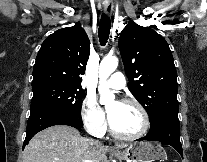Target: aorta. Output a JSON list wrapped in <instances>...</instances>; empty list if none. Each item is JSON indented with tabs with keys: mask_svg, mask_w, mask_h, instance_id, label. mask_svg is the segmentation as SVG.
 <instances>
[{
	"mask_svg": "<svg viewBox=\"0 0 207 162\" xmlns=\"http://www.w3.org/2000/svg\"><path fill=\"white\" fill-rule=\"evenodd\" d=\"M118 66V58L116 56H106L100 63L99 78L100 83L98 91L100 94V103L102 105H108L114 103L115 96L113 92L109 90L106 84L107 78L116 70Z\"/></svg>",
	"mask_w": 207,
	"mask_h": 162,
	"instance_id": "762f6f07",
	"label": "aorta"
}]
</instances>
